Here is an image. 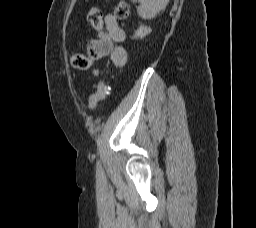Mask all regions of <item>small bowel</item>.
<instances>
[{"label":"small bowel","mask_w":256,"mask_h":228,"mask_svg":"<svg viewBox=\"0 0 256 228\" xmlns=\"http://www.w3.org/2000/svg\"><path fill=\"white\" fill-rule=\"evenodd\" d=\"M105 32L100 40H93L89 45V52L95 59L109 56L112 63L121 67L127 61V52L123 43L126 38L125 31L119 26L117 19L112 14H107L104 19ZM94 75L99 71L94 70Z\"/></svg>","instance_id":"obj_1"}]
</instances>
